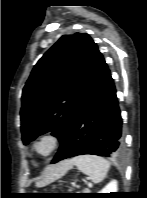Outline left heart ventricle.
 I'll list each match as a JSON object with an SVG mask.
<instances>
[{"label":"left heart ventricle","mask_w":147,"mask_h":198,"mask_svg":"<svg viewBox=\"0 0 147 198\" xmlns=\"http://www.w3.org/2000/svg\"><path fill=\"white\" fill-rule=\"evenodd\" d=\"M47 148H48V144H47V143H43V144H41V146H40V150H41V151H46Z\"/></svg>","instance_id":"1"}]
</instances>
